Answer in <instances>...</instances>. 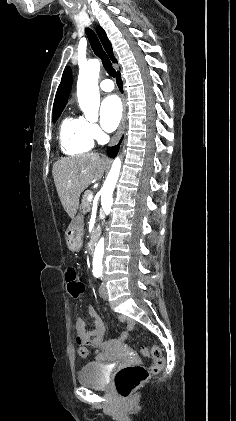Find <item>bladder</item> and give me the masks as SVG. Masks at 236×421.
Listing matches in <instances>:
<instances>
[{"mask_svg": "<svg viewBox=\"0 0 236 421\" xmlns=\"http://www.w3.org/2000/svg\"><path fill=\"white\" fill-rule=\"evenodd\" d=\"M77 382L94 389H104L106 381L98 364L85 363L78 370Z\"/></svg>", "mask_w": 236, "mask_h": 421, "instance_id": "31cf9c89", "label": "bladder"}]
</instances>
